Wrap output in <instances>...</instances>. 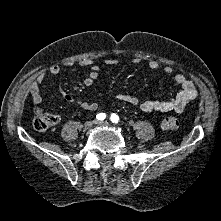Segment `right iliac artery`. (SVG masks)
Instances as JSON below:
<instances>
[{"label": "right iliac artery", "instance_id": "82829eb1", "mask_svg": "<svg viewBox=\"0 0 221 221\" xmlns=\"http://www.w3.org/2000/svg\"><path fill=\"white\" fill-rule=\"evenodd\" d=\"M97 120L99 121H103L105 118H106V114L105 113H99L97 116H96Z\"/></svg>", "mask_w": 221, "mask_h": 221}]
</instances>
